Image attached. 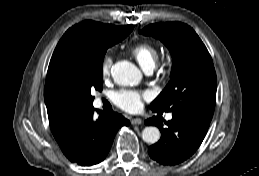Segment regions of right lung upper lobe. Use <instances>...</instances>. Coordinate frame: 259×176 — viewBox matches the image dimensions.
<instances>
[{
    "mask_svg": "<svg viewBox=\"0 0 259 176\" xmlns=\"http://www.w3.org/2000/svg\"><path fill=\"white\" fill-rule=\"evenodd\" d=\"M133 28V25L115 26L88 20L65 32L52 55L45 82L44 99L50 125L57 123L71 112L86 108L81 102L74 83L60 64V50L66 39L76 31H83L94 37H108L130 33Z\"/></svg>",
    "mask_w": 259,
    "mask_h": 176,
    "instance_id": "right-lung-upper-lobe-1",
    "label": "right lung upper lobe"
}]
</instances>
